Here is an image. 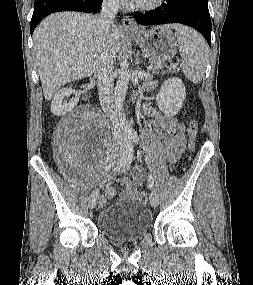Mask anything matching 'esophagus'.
Listing matches in <instances>:
<instances>
[{
	"label": "esophagus",
	"mask_w": 253,
	"mask_h": 285,
	"mask_svg": "<svg viewBox=\"0 0 253 285\" xmlns=\"http://www.w3.org/2000/svg\"><path fill=\"white\" fill-rule=\"evenodd\" d=\"M122 26L126 31H135L138 29L137 25L129 15H125L123 17Z\"/></svg>",
	"instance_id": "1"
}]
</instances>
